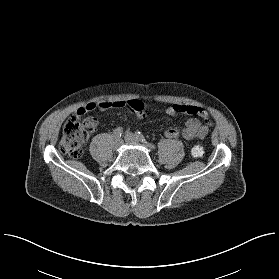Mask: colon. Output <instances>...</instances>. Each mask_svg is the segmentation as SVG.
Returning a JSON list of instances; mask_svg holds the SVG:
<instances>
[{
  "label": "colon",
  "mask_w": 279,
  "mask_h": 279,
  "mask_svg": "<svg viewBox=\"0 0 279 279\" xmlns=\"http://www.w3.org/2000/svg\"><path fill=\"white\" fill-rule=\"evenodd\" d=\"M125 106L134 112H138L142 109V102L130 100L125 103ZM97 125L98 120L95 117H88L84 120H80L76 116L68 118L62 129L60 151L73 159L80 158L83 155L86 140ZM203 153L204 149L200 144H195L191 148V154L194 157H200Z\"/></svg>",
  "instance_id": "colon-1"
}]
</instances>
